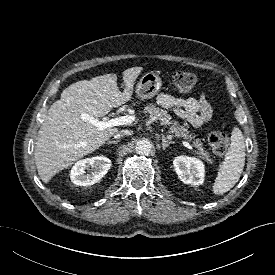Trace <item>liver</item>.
<instances>
[{
    "label": "liver",
    "instance_id": "liver-1",
    "mask_svg": "<svg viewBox=\"0 0 275 275\" xmlns=\"http://www.w3.org/2000/svg\"><path fill=\"white\" fill-rule=\"evenodd\" d=\"M142 67L123 72L125 88L119 91L116 74H105L71 84L49 108L38 131L34 160L44 183L75 161L92 153L119 131L116 127L98 130L88 120L107 115L132 98L134 82Z\"/></svg>",
    "mask_w": 275,
    "mask_h": 275
}]
</instances>
